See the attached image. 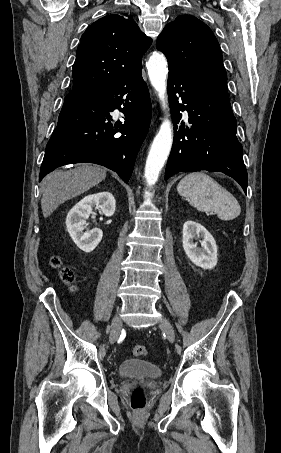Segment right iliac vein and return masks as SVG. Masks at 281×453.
<instances>
[{"instance_id":"63e3f726","label":"right iliac vein","mask_w":281,"mask_h":453,"mask_svg":"<svg viewBox=\"0 0 281 453\" xmlns=\"http://www.w3.org/2000/svg\"><path fill=\"white\" fill-rule=\"evenodd\" d=\"M112 330H111V339L112 340H117L118 339V335L122 329V326H121V318L119 316H116L113 321H112Z\"/></svg>"}]
</instances>
